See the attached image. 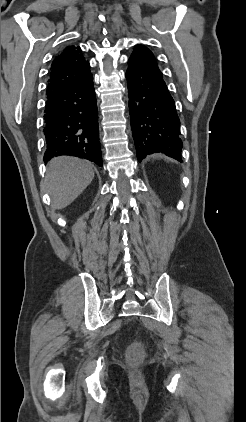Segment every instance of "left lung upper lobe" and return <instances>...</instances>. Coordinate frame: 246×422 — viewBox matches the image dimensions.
<instances>
[{
    "instance_id": "5c2ea615",
    "label": "left lung upper lobe",
    "mask_w": 246,
    "mask_h": 422,
    "mask_svg": "<svg viewBox=\"0 0 246 422\" xmlns=\"http://www.w3.org/2000/svg\"><path fill=\"white\" fill-rule=\"evenodd\" d=\"M142 46V45H141ZM145 49H147L148 51H149V53L150 54H152L153 55V53L148 49V48H146L145 46H143ZM154 56V55H153Z\"/></svg>"
}]
</instances>
